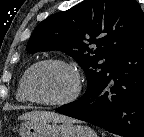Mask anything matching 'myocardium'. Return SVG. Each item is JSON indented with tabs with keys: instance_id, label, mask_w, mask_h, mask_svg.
<instances>
[{
	"instance_id": "f54148a6",
	"label": "myocardium",
	"mask_w": 144,
	"mask_h": 137,
	"mask_svg": "<svg viewBox=\"0 0 144 137\" xmlns=\"http://www.w3.org/2000/svg\"><path fill=\"white\" fill-rule=\"evenodd\" d=\"M43 65H57V66L63 67L64 69H66L72 74L74 78V88L67 97L60 99V100L51 101V100L38 99L32 96L30 89H29V82H30L31 74L37 68ZM82 86H83L82 77L76 66H74L73 64L65 60L53 59V58L43 59L34 63L25 72L24 79H23V92L27 100L36 104L45 105V106H53V107L64 106V105H68L74 102L79 97L81 90H82Z\"/></svg>"
}]
</instances>
